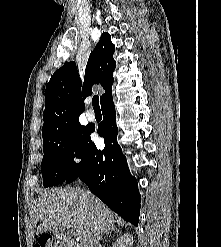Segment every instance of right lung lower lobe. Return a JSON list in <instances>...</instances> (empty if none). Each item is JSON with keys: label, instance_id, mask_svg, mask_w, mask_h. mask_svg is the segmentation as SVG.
<instances>
[{"label": "right lung lower lobe", "instance_id": "right-lung-lower-lobe-1", "mask_svg": "<svg viewBox=\"0 0 221 247\" xmlns=\"http://www.w3.org/2000/svg\"><path fill=\"white\" fill-rule=\"evenodd\" d=\"M103 121L98 133L104 138L105 148L99 150L91 138L81 162L65 180L77 178L86 183L90 191L125 221L138 226L141 196L137 180L133 177L117 143L116 112L113 98L101 105ZM94 131L90 128V134Z\"/></svg>", "mask_w": 221, "mask_h": 247}]
</instances>
